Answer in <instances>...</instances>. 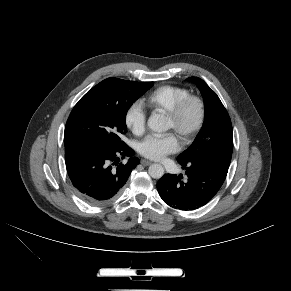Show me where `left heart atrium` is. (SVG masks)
I'll return each mask as SVG.
<instances>
[{
	"label": "left heart atrium",
	"instance_id": "1",
	"mask_svg": "<svg viewBox=\"0 0 291 291\" xmlns=\"http://www.w3.org/2000/svg\"><path fill=\"white\" fill-rule=\"evenodd\" d=\"M179 142L173 133L162 136L149 135L138 145V152L145 158L160 160L165 155L177 151Z\"/></svg>",
	"mask_w": 291,
	"mask_h": 291
}]
</instances>
